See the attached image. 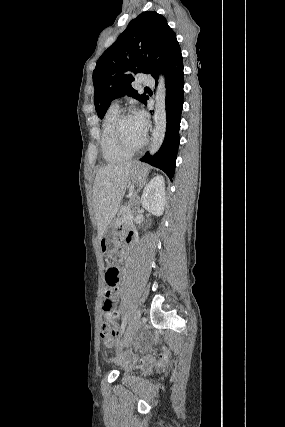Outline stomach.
Here are the masks:
<instances>
[{
  "instance_id": "1",
  "label": "stomach",
  "mask_w": 285,
  "mask_h": 427,
  "mask_svg": "<svg viewBox=\"0 0 285 427\" xmlns=\"http://www.w3.org/2000/svg\"><path fill=\"white\" fill-rule=\"evenodd\" d=\"M148 174V168L141 164H133L130 168L128 187L135 185L142 186L145 183ZM115 234V226L111 225L106 230L105 234L100 238L99 245L104 254L111 251L113 247V236Z\"/></svg>"
}]
</instances>
